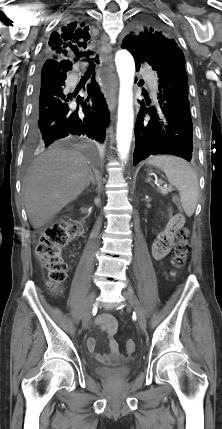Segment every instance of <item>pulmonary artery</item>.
<instances>
[{"label":"pulmonary artery","instance_id":"pulmonary-artery-1","mask_svg":"<svg viewBox=\"0 0 222 429\" xmlns=\"http://www.w3.org/2000/svg\"><path fill=\"white\" fill-rule=\"evenodd\" d=\"M146 78H147V81H148V85H149V88H150V90L153 92V93H155L156 92V89H157V79L155 78V76L152 74V73H150V72H146Z\"/></svg>","mask_w":222,"mask_h":429}]
</instances>
